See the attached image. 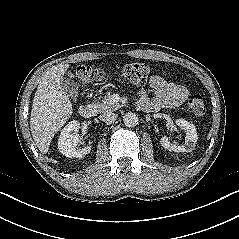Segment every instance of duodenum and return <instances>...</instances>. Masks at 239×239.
Listing matches in <instances>:
<instances>
[{"mask_svg": "<svg viewBox=\"0 0 239 239\" xmlns=\"http://www.w3.org/2000/svg\"><path fill=\"white\" fill-rule=\"evenodd\" d=\"M95 108L91 103H86L80 106L79 114L83 118H90L94 114Z\"/></svg>", "mask_w": 239, "mask_h": 239, "instance_id": "1", "label": "duodenum"}]
</instances>
